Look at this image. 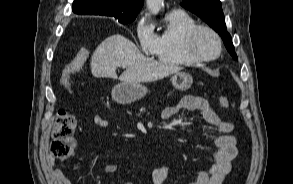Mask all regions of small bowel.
<instances>
[{
	"mask_svg": "<svg viewBox=\"0 0 293 184\" xmlns=\"http://www.w3.org/2000/svg\"><path fill=\"white\" fill-rule=\"evenodd\" d=\"M183 110L201 112L204 122L218 131L212 141L214 164L209 169L199 172L195 180L189 184H223L225 177L231 171L232 161L238 153L236 138L232 134L233 124L219 117L208 101L199 96L183 97L177 104L165 108L162 116L164 119H170ZM93 122L102 128L109 126V121L101 115H95ZM102 171L108 174H115L118 171V165L113 163L106 164L102 167ZM48 174L54 184H72L61 169L54 167L53 160L49 162ZM152 178L154 184H166L168 181V168L165 165L158 166L154 169ZM122 184L133 183L123 182Z\"/></svg>",
	"mask_w": 293,
	"mask_h": 184,
	"instance_id": "1",
	"label": "small bowel"
}]
</instances>
